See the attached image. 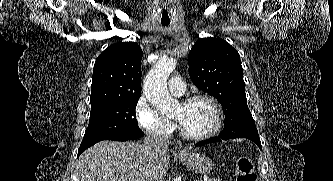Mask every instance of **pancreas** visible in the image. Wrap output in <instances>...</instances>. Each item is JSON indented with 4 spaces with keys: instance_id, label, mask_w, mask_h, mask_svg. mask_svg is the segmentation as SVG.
Instances as JSON below:
<instances>
[{
    "instance_id": "obj_1",
    "label": "pancreas",
    "mask_w": 333,
    "mask_h": 181,
    "mask_svg": "<svg viewBox=\"0 0 333 181\" xmlns=\"http://www.w3.org/2000/svg\"><path fill=\"white\" fill-rule=\"evenodd\" d=\"M208 181H222V180L217 179V178H211V179H209Z\"/></svg>"
}]
</instances>
